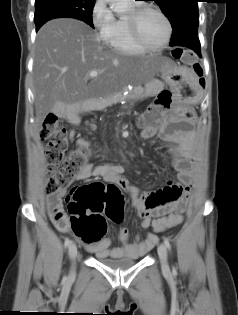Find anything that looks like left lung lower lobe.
Returning a JSON list of instances; mask_svg holds the SVG:
<instances>
[{
  "instance_id": "0a47b994",
  "label": "left lung lower lobe",
  "mask_w": 238,
  "mask_h": 315,
  "mask_svg": "<svg viewBox=\"0 0 238 315\" xmlns=\"http://www.w3.org/2000/svg\"><path fill=\"white\" fill-rule=\"evenodd\" d=\"M171 46H184L193 49L201 57L200 42L197 35H191L181 40L171 42Z\"/></svg>"
}]
</instances>
